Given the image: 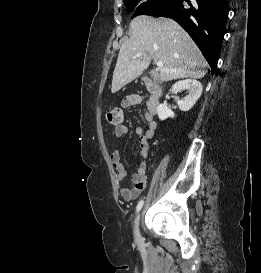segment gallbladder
<instances>
[{
	"label": "gallbladder",
	"instance_id": "bac80fb5",
	"mask_svg": "<svg viewBox=\"0 0 261 273\" xmlns=\"http://www.w3.org/2000/svg\"><path fill=\"white\" fill-rule=\"evenodd\" d=\"M150 76H151V78H153L154 80L156 79V73H155V71H150Z\"/></svg>",
	"mask_w": 261,
	"mask_h": 273
}]
</instances>
